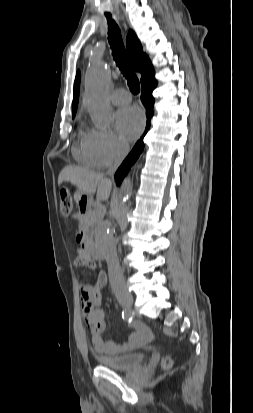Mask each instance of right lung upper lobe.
<instances>
[{"label": "right lung upper lobe", "instance_id": "1", "mask_svg": "<svg viewBox=\"0 0 253 413\" xmlns=\"http://www.w3.org/2000/svg\"><path fill=\"white\" fill-rule=\"evenodd\" d=\"M126 47L128 52L129 61L135 71L142 74L141 81L147 76L153 75L154 70L149 58L143 53L142 46L138 40L136 34L133 31H129L126 39ZM80 88V72H77L75 84H74V97H73V116H75L77 110V104L79 99Z\"/></svg>", "mask_w": 253, "mask_h": 413}]
</instances>
